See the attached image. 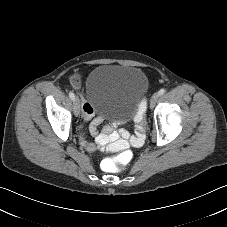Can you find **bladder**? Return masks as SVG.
I'll return each mask as SVG.
<instances>
[{"label": "bladder", "instance_id": "bladder-1", "mask_svg": "<svg viewBox=\"0 0 227 227\" xmlns=\"http://www.w3.org/2000/svg\"><path fill=\"white\" fill-rule=\"evenodd\" d=\"M146 89L147 79L140 69L101 64L87 79L85 97L105 119L127 121L136 116Z\"/></svg>", "mask_w": 227, "mask_h": 227}]
</instances>
